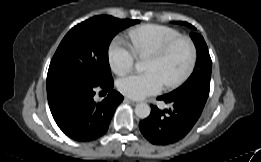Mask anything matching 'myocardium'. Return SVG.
<instances>
[{
    "instance_id": "obj_1",
    "label": "myocardium",
    "mask_w": 261,
    "mask_h": 162,
    "mask_svg": "<svg viewBox=\"0 0 261 162\" xmlns=\"http://www.w3.org/2000/svg\"><path fill=\"white\" fill-rule=\"evenodd\" d=\"M181 43L187 44L189 51H190V59H189L188 65H187L186 69L183 71V73L180 74L175 79H173L172 81L165 84V87L167 89H173V88L178 87L192 74V72L195 68L196 62H197V49H196L194 42L192 41L191 38H189L187 36H180V37H177V38L165 43L161 47L151 51L148 54V56H153V57H156V58H164L177 45H179Z\"/></svg>"
}]
</instances>
